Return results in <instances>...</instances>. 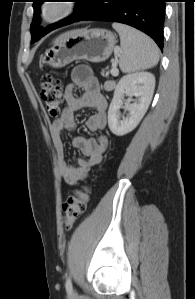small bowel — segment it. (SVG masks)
<instances>
[{
    "mask_svg": "<svg viewBox=\"0 0 195 299\" xmlns=\"http://www.w3.org/2000/svg\"><path fill=\"white\" fill-rule=\"evenodd\" d=\"M72 81L65 88V106L61 116L51 123V132L54 137L55 146L61 159L60 173L65 183L75 185L84 180L90 169L101 163L108 148V139L105 135L95 138L76 136L72 145L81 151L86 159H78L77 166L70 165L64 159L65 131H73L76 127L74 112L82 108H91L94 113L85 121L86 128L90 132H100L106 127L107 100L101 92L98 79L88 67H76L71 74ZM76 88L82 90L77 96Z\"/></svg>",
    "mask_w": 195,
    "mask_h": 299,
    "instance_id": "c3829d8e",
    "label": "small bowel"
}]
</instances>
